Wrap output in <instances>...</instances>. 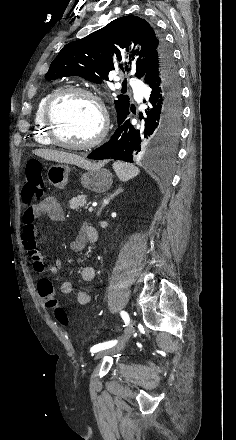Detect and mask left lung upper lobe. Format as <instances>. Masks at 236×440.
Wrapping results in <instances>:
<instances>
[{
	"label": "left lung upper lobe",
	"mask_w": 236,
	"mask_h": 440,
	"mask_svg": "<svg viewBox=\"0 0 236 440\" xmlns=\"http://www.w3.org/2000/svg\"><path fill=\"white\" fill-rule=\"evenodd\" d=\"M171 55L164 38L146 20L133 15L120 17L85 38L66 45L52 61L45 78L77 75L102 83L110 71L132 68L137 78H143L155 59ZM125 84V83H123ZM117 115L130 108L129 97L117 96Z\"/></svg>",
	"instance_id": "left-lung-upper-lobe-1"
}]
</instances>
